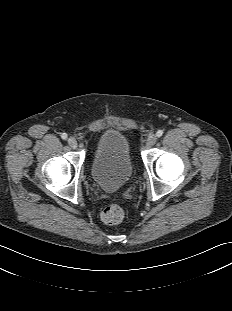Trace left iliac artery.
I'll return each instance as SVG.
<instances>
[{"label":"left iliac artery","mask_w":232,"mask_h":311,"mask_svg":"<svg viewBox=\"0 0 232 311\" xmlns=\"http://www.w3.org/2000/svg\"><path fill=\"white\" fill-rule=\"evenodd\" d=\"M163 135V130H158L156 133L157 137H161Z\"/></svg>","instance_id":"left-iliac-artery-1"}]
</instances>
